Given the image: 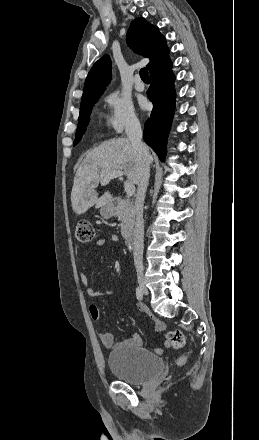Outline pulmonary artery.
Instances as JSON below:
<instances>
[{
  "label": "pulmonary artery",
  "mask_w": 259,
  "mask_h": 440,
  "mask_svg": "<svg viewBox=\"0 0 259 440\" xmlns=\"http://www.w3.org/2000/svg\"><path fill=\"white\" fill-rule=\"evenodd\" d=\"M134 87L137 91H143L145 89V86L143 82L141 81V78L139 75H136L134 78Z\"/></svg>",
  "instance_id": "pulmonary-artery-1"
}]
</instances>
